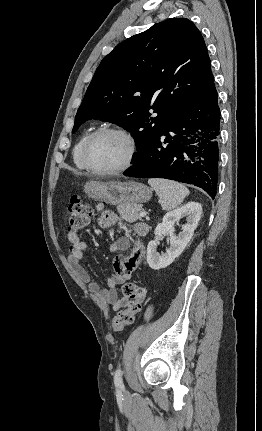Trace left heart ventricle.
Listing matches in <instances>:
<instances>
[{
  "mask_svg": "<svg viewBox=\"0 0 262 431\" xmlns=\"http://www.w3.org/2000/svg\"><path fill=\"white\" fill-rule=\"evenodd\" d=\"M129 146L119 134L105 133L94 139L88 158L92 166L111 169L120 166L127 157Z\"/></svg>",
  "mask_w": 262,
  "mask_h": 431,
  "instance_id": "obj_1",
  "label": "left heart ventricle"
}]
</instances>
